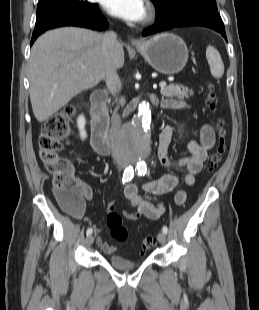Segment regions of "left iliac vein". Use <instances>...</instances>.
Masks as SVG:
<instances>
[{
	"label": "left iliac vein",
	"mask_w": 259,
	"mask_h": 310,
	"mask_svg": "<svg viewBox=\"0 0 259 310\" xmlns=\"http://www.w3.org/2000/svg\"><path fill=\"white\" fill-rule=\"evenodd\" d=\"M158 241L160 244H165L166 243V235L163 232H160L158 234Z\"/></svg>",
	"instance_id": "obj_1"
}]
</instances>
